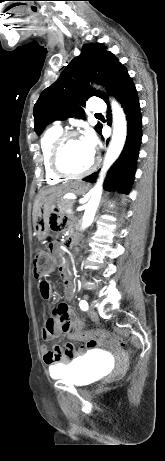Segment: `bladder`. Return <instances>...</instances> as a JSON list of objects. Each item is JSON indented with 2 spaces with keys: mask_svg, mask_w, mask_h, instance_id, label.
I'll return each instance as SVG.
<instances>
[{
  "mask_svg": "<svg viewBox=\"0 0 165 461\" xmlns=\"http://www.w3.org/2000/svg\"><path fill=\"white\" fill-rule=\"evenodd\" d=\"M106 373L103 360L100 356L88 354L72 360L59 368L56 376L78 387L87 386Z\"/></svg>",
  "mask_w": 165,
  "mask_h": 461,
  "instance_id": "bladder-1",
  "label": "bladder"
}]
</instances>
